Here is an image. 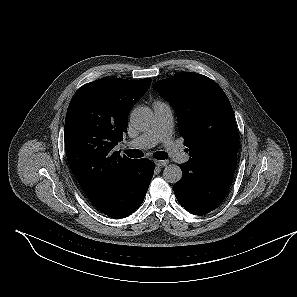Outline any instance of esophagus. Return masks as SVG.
Returning <instances> with one entry per match:
<instances>
[{"mask_svg":"<svg viewBox=\"0 0 297 297\" xmlns=\"http://www.w3.org/2000/svg\"><path fill=\"white\" fill-rule=\"evenodd\" d=\"M154 163L158 167H165L169 163V160H155Z\"/></svg>","mask_w":297,"mask_h":297,"instance_id":"esophagus-1","label":"esophagus"}]
</instances>
